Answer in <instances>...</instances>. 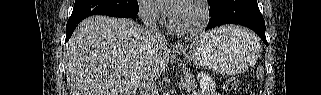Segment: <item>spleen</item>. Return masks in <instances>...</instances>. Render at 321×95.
<instances>
[{
  "mask_svg": "<svg viewBox=\"0 0 321 95\" xmlns=\"http://www.w3.org/2000/svg\"><path fill=\"white\" fill-rule=\"evenodd\" d=\"M262 75H263V72H262V69L260 68L259 69V76L262 77Z\"/></svg>",
  "mask_w": 321,
  "mask_h": 95,
  "instance_id": "3e777b00",
  "label": "spleen"
}]
</instances>
